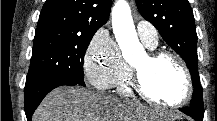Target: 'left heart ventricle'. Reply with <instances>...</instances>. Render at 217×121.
Returning a JSON list of instances; mask_svg holds the SVG:
<instances>
[{"instance_id": "1", "label": "left heart ventricle", "mask_w": 217, "mask_h": 121, "mask_svg": "<svg viewBox=\"0 0 217 121\" xmlns=\"http://www.w3.org/2000/svg\"><path fill=\"white\" fill-rule=\"evenodd\" d=\"M132 65L141 69L145 86L153 97L165 103H173L183 96L185 79L172 60L164 58L151 64L145 55Z\"/></svg>"}]
</instances>
